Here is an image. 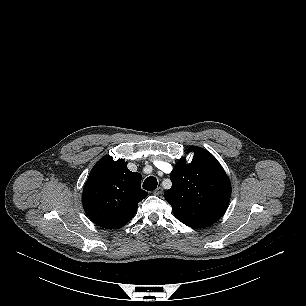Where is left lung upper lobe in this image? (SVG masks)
Returning <instances> with one entry per match:
<instances>
[{
	"label": "left lung upper lobe",
	"mask_w": 306,
	"mask_h": 306,
	"mask_svg": "<svg viewBox=\"0 0 306 306\" xmlns=\"http://www.w3.org/2000/svg\"><path fill=\"white\" fill-rule=\"evenodd\" d=\"M191 163L178 162L172 172L171 189L164 198L174 216L192 228L214 224L225 212L231 197L230 181L215 157L200 147H192Z\"/></svg>",
	"instance_id": "1"
}]
</instances>
